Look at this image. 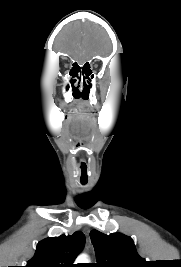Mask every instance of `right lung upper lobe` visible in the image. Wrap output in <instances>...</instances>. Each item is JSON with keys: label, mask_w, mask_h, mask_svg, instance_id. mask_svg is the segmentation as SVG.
Masks as SVG:
<instances>
[{"label": "right lung upper lobe", "mask_w": 181, "mask_h": 267, "mask_svg": "<svg viewBox=\"0 0 181 267\" xmlns=\"http://www.w3.org/2000/svg\"><path fill=\"white\" fill-rule=\"evenodd\" d=\"M85 244V236L77 231L73 235L46 238L37 245L34 257L26 267H75V258Z\"/></svg>", "instance_id": "obj_1"}]
</instances>
